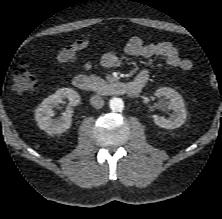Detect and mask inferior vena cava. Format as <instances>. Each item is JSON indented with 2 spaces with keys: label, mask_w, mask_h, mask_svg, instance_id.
<instances>
[{
  "label": "inferior vena cava",
  "mask_w": 222,
  "mask_h": 219,
  "mask_svg": "<svg viewBox=\"0 0 222 219\" xmlns=\"http://www.w3.org/2000/svg\"><path fill=\"white\" fill-rule=\"evenodd\" d=\"M90 104L96 108V109H100L103 107L104 105V100L100 95H93L90 98Z\"/></svg>",
  "instance_id": "obj_1"
}]
</instances>
